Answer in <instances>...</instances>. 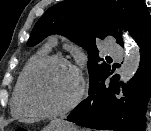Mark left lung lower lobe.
Listing matches in <instances>:
<instances>
[{
    "label": "left lung lower lobe",
    "mask_w": 151,
    "mask_h": 131,
    "mask_svg": "<svg viewBox=\"0 0 151 131\" xmlns=\"http://www.w3.org/2000/svg\"><path fill=\"white\" fill-rule=\"evenodd\" d=\"M129 32L140 47V65L135 76L120 87L119 75L115 74L108 86L105 80L114 70L110 68L89 87V96L66 120L98 130H145L146 105L151 94V16L145 3Z\"/></svg>",
    "instance_id": "0a47b994"
}]
</instances>
